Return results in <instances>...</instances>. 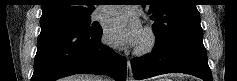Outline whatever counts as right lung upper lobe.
I'll use <instances>...</instances> for the list:
<instances>
[{"label":"right lung upper lobe","instance_id":"1","mask_svg":"<svg viewBox=\"0 0 237 81\" xmlns=\"http://www.w3.org/2000/svg\"><path fill=\"white\" fill-rule=\"evenodd\" d=\"M91 0H44L40 20L90 15L94 11Z\"/></svg>","mask_w":237,"mask_h":81}]
</instances>
